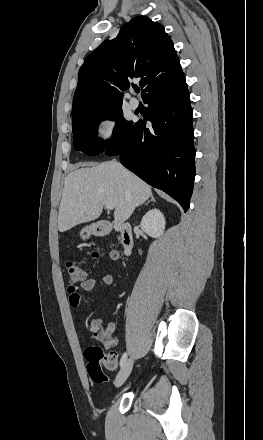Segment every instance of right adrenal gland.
I'll return each instance as SVG.
<instances>
[{
  "label": "right adrenal gland",
  "mask_w": 263,
  "mask_h": 440,
  "mask_svg": "<svg viewBox=\"0 0 263 440\" xmlns=\"http://www.w3.org/2000/svg\"><path fill=\"white\" fill-rule=\"evenodd\" d=\"M150 202H155V199H154L153 197H151V200H150V201H147L144 205H147V204L150 203Z\"/></svg>",
  "instance_id": "2a0ac1e0"
}]
</instances>
